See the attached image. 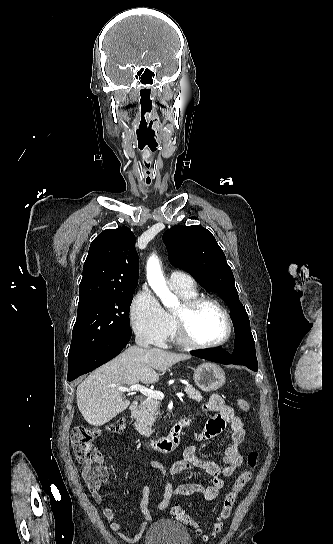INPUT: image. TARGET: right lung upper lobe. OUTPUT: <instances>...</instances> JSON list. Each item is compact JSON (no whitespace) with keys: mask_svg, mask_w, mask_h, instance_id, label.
<instances>
[{"mask_svg":"<svg viewBox=\"0 0 333 544\" xmlns=\"http://www.w3.org/2000/svg\"><path fill=\"white\" fill-rule=\"evenodd\" d=\"M138 261L135 236L128 227L100 233L91 243L83 266L79 303L107 292L135 290Z\"/></svg>","mask_w":333,"mask_h":544,"instance_id":"cb5924a9","label":"right lung upper lobe"}]
</instances>
